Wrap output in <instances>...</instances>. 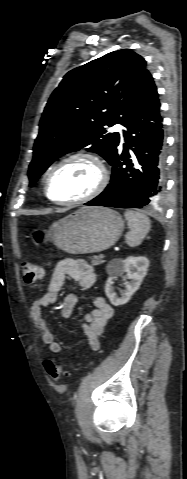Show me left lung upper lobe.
<instances>
[{"mask_svg": "<svg viewBox=\"0 0 187 479\" xmlns=\"http://www.w3.org/2000/svg\"><path fill=\"white\" fill-rule=\"evenodd\" d=\"M148 75L144 58L130 49L69 71L43 112L28 171L30 186L57 158L85 147L111 163L120 137L106 129L124 124Z\"/></svg>", "mask_w": 187, "mask_h": 479, "instance_id": "1", "label": "left lung upper lobe"}]
</instances>
